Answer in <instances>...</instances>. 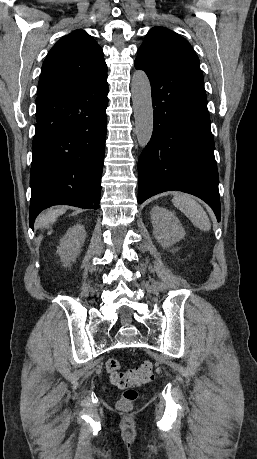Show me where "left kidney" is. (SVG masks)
<instances>
[{
  "label": "left kidney",
  "instance_id": "left-kidney-1",
  "mask_svg": "<svg viewBox=\"0 0 257 459\" xmlns=\"http://www.w3.org/2000/svg\"><path fill=\"white\" fill-rule=\"evenodd\" d=\"M153 235L162 247L168 248L185 236V230L175 214L155 206L150 212Z\"/></svg>",
  "mask_w": 257,
  "mask_h": 459
}]
</instances>
